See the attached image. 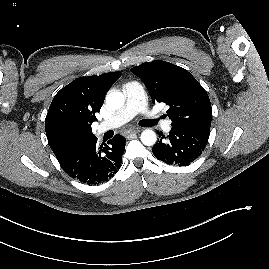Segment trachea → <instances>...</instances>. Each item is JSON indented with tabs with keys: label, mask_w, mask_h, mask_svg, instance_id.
Listing matches in <instances>:
<instances>
[{
	"label": "trachea",
	"mask_w": 269,
	"mask_h": 269,
	"mask_svg": "<svg viewBox=\"0 0 269 269\" xmlns=\"http://www.w3.org/2000/svg\"><path fill=\"white\" fill-rule=\"evenodd\" d=\"M146 126H153L156 125L157 121L156 120H150V119H146L142 121Z\"/></svg>",
	"instance_id": "1"
}]
</instances>
